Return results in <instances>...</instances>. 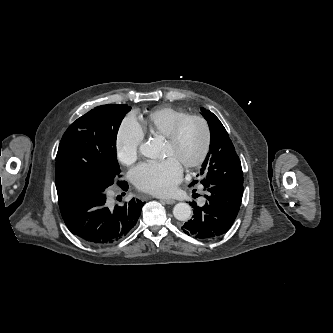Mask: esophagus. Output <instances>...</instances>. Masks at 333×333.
I'll return each instance as SVG.
<instances>
[{"instance_id":"1","label":"esophagus","mask_w":333,"mask_h":333,"mask_svg":"<svg viewBox=\"0 0 333 333\" xmlns=\"http://www.w3.org/2000/svg\"><path fill=\"white\" fill-rule=\"evenodd\" d=\"M163 201H164L166 204H170V205L176 203V201L173 200V199H163Z\"/></svg>"}]
</instances>
